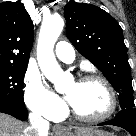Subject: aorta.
Segmentation results:
<instances>
[{
    "label": "aorta",
    "instance_id": "obj_1",
    "mask_svg": "<svg viewBox=\"0 0 136 136\" xmlns=\"http://www.w3.org/2000/svg\"><path fill=\"white\" fill-rule=\"evenodd\" d=\"M64 27L61 16L43 19L37 44V61L44 76L51 81L58 92H64L71 76L63 72L54 55V45Z\"/></svg>",
    "mask_w": 136,
    "mask_h": 136
}]
</instances>
